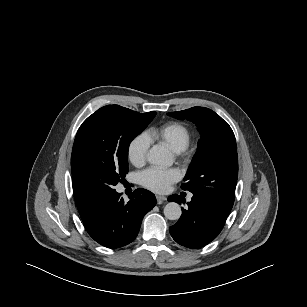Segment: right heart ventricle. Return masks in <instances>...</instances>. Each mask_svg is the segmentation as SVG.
I'll return each instance as SVG.
<instances>
[{"label": "right heart ventricle", "mask_w": 307, "mask_h": 307, "mask_svg": "<svg viewBox=\"0 0 307 307\" xmlns=\"http://www.w3.org/2000/svg\"><path fill=\"white\" fill-rule=\"evenodd\" d=\"M150 141H155L179 153L188 147L191 140V131L183 123L169 122L160 127L152 128L145 133Z\"/></svg>", "instance_id": "1"}]
</instances>
